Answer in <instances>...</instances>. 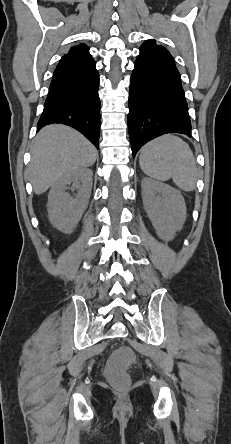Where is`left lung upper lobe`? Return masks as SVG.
<instances>
[{
    "label": "left lung upper lobe",
    "mask_w": 231,
    "mask_h": 444,
    "mask_svg": "<svg viewBox=\"0 0 231 444\" xmlns=\"http://www.w3.org/2000/svg\"><path fill=\"white\" fill-rule=\"evenodd\" d=\"M140 50L159 51L171 55L164 47H162L161 45H157L156 41L152 39L145 41L141 45Z\"/></svg>",
    "instance_id": "left-lung-upper-lobe-1"
}]
</instances>
